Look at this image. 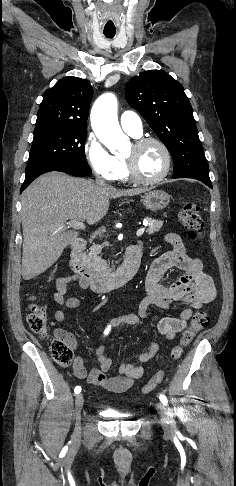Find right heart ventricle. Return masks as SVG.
Wrapping results in <instances>:
<instances>
[{"label": "right heart ventricle", "instance_id": "e07e8e85", "mask_svg": "<svg viewBox=\"0 0 236 486\" xmlns=\"http://www.w3.org/2000/svg\"><path fill=\"white\" fill-rule=\"evenodd\" d=\"M117 160H118V163H119V166H120L118 180L128 181L129 177H128V173H127L126 164H125L124 159L123 158H117Z\"/></svg>", "mask_w": 236, "mask_h": 486}]
</instances>
